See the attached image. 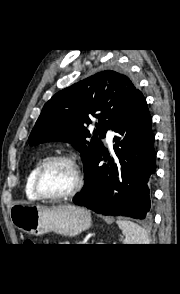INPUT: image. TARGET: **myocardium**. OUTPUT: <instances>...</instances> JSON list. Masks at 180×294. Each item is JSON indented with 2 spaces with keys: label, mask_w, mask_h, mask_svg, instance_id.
<instances>
[{
  "label": "myocardium",
  "mask_w": 180,
  "mask_h": 294,
  "mask_svg": "<svg viewBox=\"0 0 180 294\" xmlns=\"http://www.w3.org/2000/svg\"><path fill=\"white\" fill-rule=\"evenodd\" d=\"M63 162L68 165H70L75 173L76 176V183L75 186L68 192L64 194H59V195H47L45 194L42 189H41V178L44 174V172L53 164ZM84 186V176L81 171L80 166L76 162V160L69 156V155H57V156H52L45 160L41 166L37 169L35 176H34V191L37 195L38 198L45 200V201H61V200H66L69 198H72L76 196Z\"/></svg>",
  "instance_id": "obj_1"
}]
</instances>
